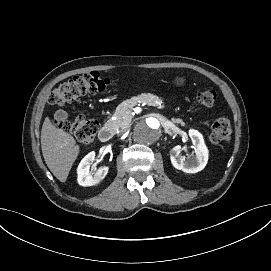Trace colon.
Segmentation results:
<instances>
[{
    "label": "colon",
    "instance_id": "1",
    "mask_svg": "<svg viewBox=\"0 0 271 271\" xmlns=\"http://www.w3.org/2000/svg\"><path fill=\"white\" fill-rule=\"evenodd\" d=\"M111 82L109 78L96 71L74 76L60 83L52 91L49 96V103L51 105L64 106L86 94H95L104 91ZM216 96L215 91L205 90L197 94L196 102L201 107H210L215 102ZM56 124L63 131L75 135L79 143L84 147H88L93 143L98 130V123L84 116L56 121ZM231 134L232 127L227 117L220 116L213 122L210 129V139L213 143L226 142L230 139Z\"/></svg>",
    "mask_w": 271,
    "mask_h": 271
}]
</instances>
